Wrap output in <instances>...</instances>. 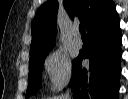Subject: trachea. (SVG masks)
Wrapping results in <instances>:
<instances>
[{
  "label": "trachea",
  "instance_id": "1",
  "mask_svg": "<svg viewBox=\"0 0 128 99\" xmlns=\"http://www.w3.org/2000/svg\"><path fill=\"white\" fill-rule=\"evenodd\" d=\"M79 31H80L82 37H86V31H85V26L84 25L81 24L79 26Z\"/></svg>",
  "mask_w": 128,
  "mask_h": 99
}]
</instances>
